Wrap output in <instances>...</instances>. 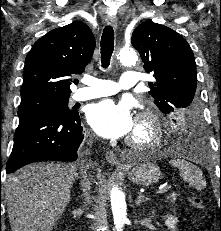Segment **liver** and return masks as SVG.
Masks as SVG:
<instances>
[{
    "label": "liver",
    "mask_w": 221,
    "mask_h": 231,
    "mask_svg": "<svg viewBox=\"0 0 221 231\" xmlns=\"http://www.w3.org/2000/svg\"><path fill=\"white\" fill-rule=\"evenodd\" d=\"M77 167L34 163L8 176L5 198L12 231H51L70 202Z\"/></svg>",
    "instance_id": "liver-1"
}]
</instances>
